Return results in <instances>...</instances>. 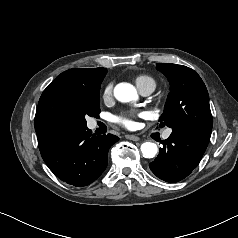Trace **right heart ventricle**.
Instances as JSON below:
<instances>
[{
  "label": "right heart ventricle",
  "mask_w": 238,
  "mask_h": 238,
  "mask_svg": "<svg viewBox=\"0 0 238 238\" xmlns=\"http://www.w3.org/2000/svg\"><path fill=\"white\" fill-rule=\"evenodd\" d=\"M135 84L137 85V87L139 88V90L141 91L142 89H145L147 87H151L153 89H155L156 87V81L155 79L147 74H140L137 75L134 78Z\"/></svg>",
  "instance_id": "right-heart-ventricle-1"
}]
</instances>
